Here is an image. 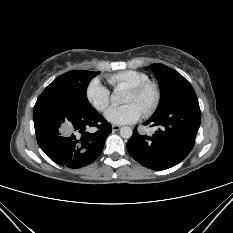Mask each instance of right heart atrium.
Wrapping results in <instances>:
<instances>
[{
  "label": "right heart atrium",
  "mask_w": 233,
  "mask_h": 233,
  "mask_svg": "<svg viewBox=\"0 0 233 233\" xmlns=\"http://www.w3.org/2000/svg\"><path fill=\"white\" fill-rule=\"evenodd\" d=\"M86 98L97 111L102 112L110 104V91L98 79H93L86 88Z\"/></svg>",
  "instance_id": "1"
}]
</instances>
